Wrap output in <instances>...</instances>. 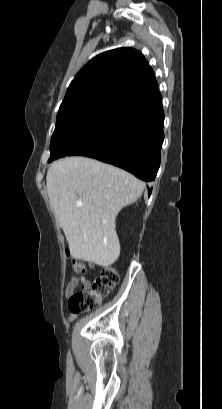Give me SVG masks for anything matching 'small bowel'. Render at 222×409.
<instances>
[{
    "label": "small bowel",
    "mask_w": 222,
    "mask_h": 409,
    "mask_svg": "<svg viewBox=\"0 0 222 409\" xmlns=\"http://www.w3.org/2000/svg\"><path fill=\"white\" fill-rule=\"evenodd\" d=\"M91 286V281L84 276H72L65 288V295L71 296L75 290L80 287L82 290H87ZM74 316H70V320H73Z\"/></svg>",
    "instance_id": "small-bowel-1"
}]
</instances>
